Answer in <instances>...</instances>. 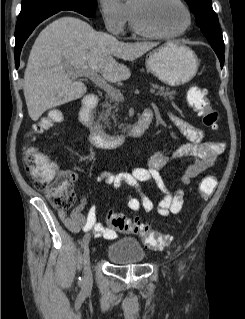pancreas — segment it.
<instances>
[{
  "label": "pancreas",
  "mask_w": 245,
  "mask_h": 319,
  "mask_svg": "<svg viewBox=\"0 0 245 319\" xmlns=\"http://www.w3.org/2000/svg\"><path fill=\"white\" fill-rule=\"evenodd\" d=\"M158 92L156 93L157 96H162L165 99H173L174 92L171 91L169 88L159 87ZM115 109V111H112ZM118 101L113 99L110 95L106 97L105 101L102 103V112L100 114V119L104 121L106 124L110 123V118L114 120L115 125H117V119L115 113L118 111ZM119 128L122 131H125V126L123 124L119 125Z\"/></svg>",
  "instance_id": "cf45deb5"
}]
</instances>
